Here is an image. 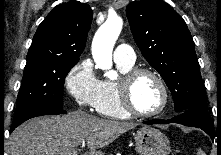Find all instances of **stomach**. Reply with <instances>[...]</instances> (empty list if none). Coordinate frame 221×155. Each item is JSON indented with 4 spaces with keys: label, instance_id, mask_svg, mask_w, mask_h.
I'll list each match as a JSON object with an SVG mask.
<instances>
[{
    "label": "stomach",
    "instance_id": "stomach-1",
    "mask_svg": "<svg viewBox=\"0 0 221 155\" xmlns=\"http://www.w3.org/2000/svg\"><path fill=\"white\" fill-rule=\"evenodd\" d=\"M135 147L140 155H169L170 141L158 129L145 126L135 134Z\"/></svg>",
    "mask_w": 221,
    "mask_h": 155
}]
</instances>
